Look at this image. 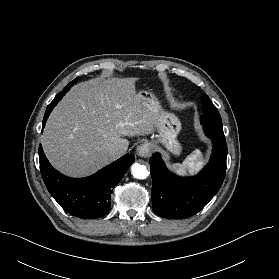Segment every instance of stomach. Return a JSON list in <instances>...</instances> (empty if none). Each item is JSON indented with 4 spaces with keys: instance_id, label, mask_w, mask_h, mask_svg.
Instances as JSON below:
<instances>
[{
    "instance_id": "1",
    "label": "stomach",
    "mask_w": 279,
    "mask_h": 279,
    "mask_svg": "<svg viewBox=\"0 0 279 279\" xmlns=\"http://www.w3.org/2000/svg\"><path fill=\"white\" fill-rule=\"evenodd\" d=\"M137 94L157 112V141L162 143L172 154L179 155L181 153V145L177 140V136L181 130L180 120L172 113L161 111L158 101L152 92L143 90Z\"/></svg>"
}]
</instances>
